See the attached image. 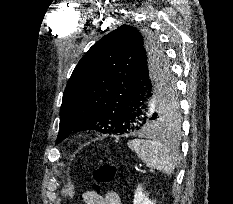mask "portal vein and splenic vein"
I'll return each instance as SVG.
<instances>
[{"instance_id": "portal-vein-and-splenic-vein-1", "label": "portal vein and splenic vein", "mask_w": 233, "mask_h": 204, "mask_svg": "<svg viewBox=\"0 0 233 204\" xmlns=\"http://www.w3.org/2000/svg\"><path fill=\"white\" fill-rule=\"evenodd\" d=\"M139 170L142 171V170H145V169L140 168Z\"/></svg>"}]
</instances>
